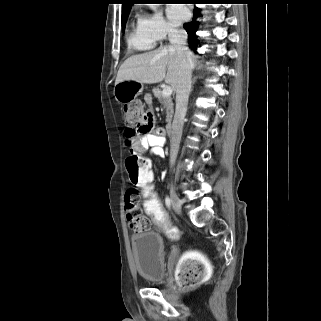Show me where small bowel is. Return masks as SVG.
I'll return each instance as SVG.
<instances>
[{
    "instance_id": "1",
    "label": "small bowel",
    "mask_w": 321,
    "mask_h": 321,
    "mask_svg": "<svg viewBox=\"0 0 321 321\" xmlns=\"http://www.w3.org/2000/svg\"><path fill=\"white\" fill-rule=\"evenodd\" d=\"M146 101L149 103L151 100L147 99ZM164 143L165 137L162 128H156L154 131L142 136L130 135L125 131V145L128 147L129 152L142 154L150 150L153 154L160 155Z\"/></svg>"
}]
</instances>
